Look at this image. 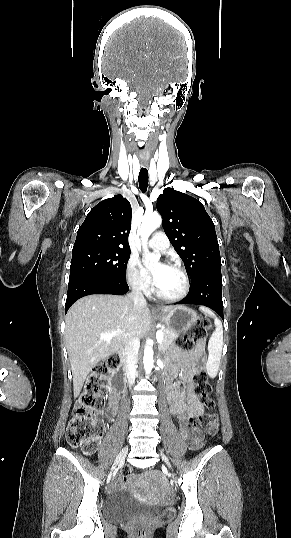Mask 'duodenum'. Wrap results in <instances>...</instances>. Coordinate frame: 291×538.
Segmentation results:
<instances>
[{
	"label": "duodenum",
	"instance_id": "duodenum-1",
	"mask_svg": "<svg viewBox=\"0 0 291 538\" xmlns=\"http://www.w3.org/2000/svg\"><path fill=\"white\" fill-rule=\"evenodd\" d=\"M127 360V357L125 355H122L120 357V360L118 361L116 373H125L126 366L125 361ZM124 376L122 374H112L110 376V379L108 381V384L110 388H112L114 395L118 399L119 395L124 394L126 392V385L124 381Z\"/></svg>",
	"mask_w": 291,
	"mask_h": 538
}]
</instances>
